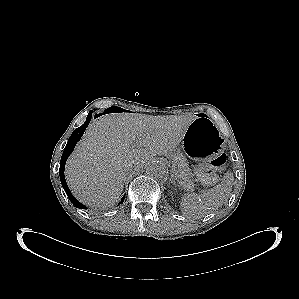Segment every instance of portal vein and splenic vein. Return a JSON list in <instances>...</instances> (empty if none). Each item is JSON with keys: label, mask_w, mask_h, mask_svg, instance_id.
<instances>
[{"label": "portal vein and splenic vein", "mask_w": 299, "mask_h": 299, "mask_svg": "<svg viewBox=\"0 0 299 299\" xmlns=\"http://www.w3.org/2000/svg\"><path fill=\"white\" fill-rule=\"evenodd\" d=\"M137 147L141 146V141H137Z\"/></svg>", "instance_id": "portal-vein-and-splenic-vein-1"}]
</instances>
